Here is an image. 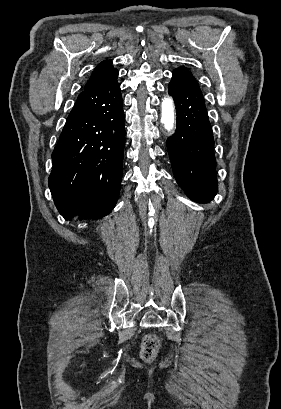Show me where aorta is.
<instances>
[{
	"mask_svg": "<svg viewBox=\"0 0 281 409\" xmlns=\"http://www.w3.org/2000/svg\"><path fill=\"white\" fill-rule=\"evenodd\" d=\"M175 121L174 102L171 97H165L161 105V123L168 131L173 130Z\"/></svg>",
	"mask_w": 281,
	"mask_h": 409,
	"instance_id": "aorta-1",
	"label": "aorta"
}]
</instances>
